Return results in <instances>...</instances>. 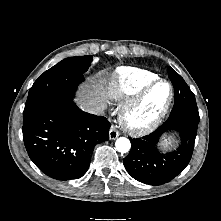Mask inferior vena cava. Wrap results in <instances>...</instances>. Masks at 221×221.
<instances>
[{
    "label": "inferior vena cava",
    "instance_id": "1",
    "mask_svg": "<svg viewBox=\"0 0 221 221\" xmlns=\"http://www.w3.org/2000/svg\"><path fill=\"white\" fill-rule=\"evenodd\" d=\"M86 111L90 114L100 116L104 112V106H101V105L92 106V107L87 108Z\"/></svg>",
    "mask_w": 221,
    "mask_h": 221
}]
</instances>
